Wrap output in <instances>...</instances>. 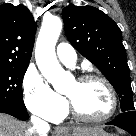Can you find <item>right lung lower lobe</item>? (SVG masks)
Returning a JSON list of instances; mask_svg holds the SVG:
<instances>
[{
  "instance_id": "obj_1",
  "label": "right lung lower lobe",
  "mask_w": 136,
  "mask_h": 136,
  "mask_svg": "<svg viewBox=\"0 0 136 136\" xmlns=\"http://www.w3.org/2000/svg\"><path fill=\"white\" fill-rule=\"evenodd\" d=\"M0 112L12 115L20 120L28 119V113L24 109L3 107V108H0Z\"/></svg>"
}]
</instances>
